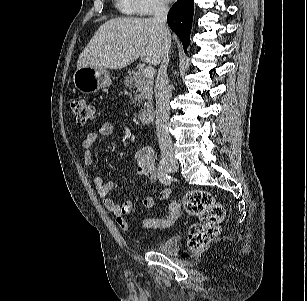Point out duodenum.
Listing matches in <instances>:
<instances>
[{
  "mask_svg": "<svg viewBox=\"0 0 307 301\" xmlns=\"http://www.w3.org/2000/svg\"><path fill=\"white\" fill-rule=\"evenodd\" d=\"M154 119V108L152 106L143 107L139 111V121L142 124H150Z\"/></svg>",
  "mask_w": 307,
  "mask_h": 301,
  "instance_id": "1",
  "label": "duodenum"
}]
</instances>
